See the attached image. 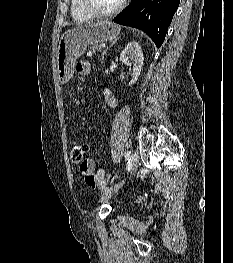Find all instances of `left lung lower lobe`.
<instances>
[{"instance_id":"0a47b994","label":"left lung lower lobe","mask_w":233,"mask_h":263,"mask_svg":"<svg viewBox=\"0 0 233 263\" xmlns=\"http://www.w3.org/2000/svg\"><path fill=\"white\" fill-rule=\"evenodd\" d=\"M180 0H132L114 22L146 32L160 47Z\"/></svg>"}]
</instances>
